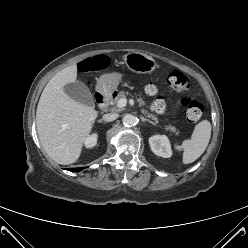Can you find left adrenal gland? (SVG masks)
<instances>
[{"label": "left adrenal gland", "instance_id": "obj_1", "mask_svg": "<svg viewBox=\"0 0 248 248\" xmlns=\"http://www.w3.org/2000/svg\"><path fill=\"white\" fill-rule=\"evenodd\" d=\"M141 120L143 121V122H149V123H151V124H155L154 122H152V121H150L149 119H146V118H144L143 116H141Z\"/></svg>", "mask_w": 248, "mask_h": 248}]
</instances>
